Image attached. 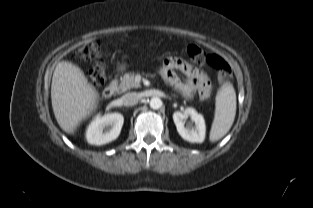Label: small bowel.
<instances>
[{"mask_svg":"<svg viewBox=\"0 0 313 208\" xmlns=\"http://www.w3.org/2000/svg\"><path fill=\"white\" fill-rule=\"evenodd\" d=\"M175 70L182 72L187 79L182 81ZM162 74L168 83L186 97H191L194 93H198L203 99L210 96L211 83L207 75L183 59L167 58L163 64Z\"/></svg>","mask_w":313,"mask_h":208,"instance_id":"obj_1","label":"small bowel"}]
</instances>
